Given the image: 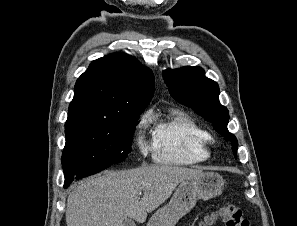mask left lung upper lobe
Masks as SVG:
<instances>
[{
    "label": "left lung upper lobe",
    "mask_w": 297,
    "mask_h": 226,
    "mask_svg": "<svg viewBox=\"0 0 297 226\" xmlns=\"http://www.w3.org/2000/svg\"><path fill=\"white\" fill-rule=\"evenodd\" d=\"M204 74V70L197 66L167 69L162 73L171 96L211 122L219 134L231 141L236 157L238 143L227 129L229 115L227 108L219 102V86Z\"/></svg>",
    "instance_id": "left-lung-upper-lobe-1"
}]
</instances>
